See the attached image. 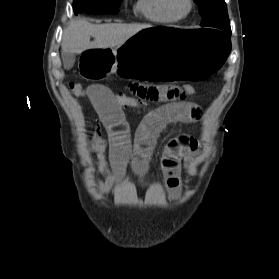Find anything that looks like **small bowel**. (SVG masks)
<instances>
[{
  "label": "small bowel",
  "mask_w": 279,
  "mask_h": 279,
  "mask_svg": "<svg viewBox=\"0 0 279 279\" xmlns=\"http://www.w3.org/2000/svg\"><path fill=\"white\" fill-rule=\"evenodd\" d=\"M129 87L135 96L151 98L153 102H161L163 105L139 109L143 112V118L132 140L123 107L114 100L113 93L101 84L88 86L85 97L90 100L99 123L109 135L107 147L99 137L98 125L95 126L90 148L101 154L108 149L111 166L117 175H123L129 167L135 174L142 176L148 170L156 140L165 126L170 123H194L199 120L202 110L198 104L185 98H175L177 86L130 83ZM198 151L199 142L190 135L173 138L165 146L161 168L170 197L180 196L182 165L188 170ZM112 186V180L98 183L102 193L108 192Z\"/></svg>",
  "instance_id": "1"
}]
</instances>
